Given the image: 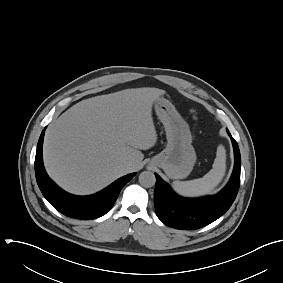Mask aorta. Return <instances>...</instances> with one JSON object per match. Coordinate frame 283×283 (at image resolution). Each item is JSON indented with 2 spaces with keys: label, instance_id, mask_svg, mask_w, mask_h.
<instances>
[{
  "label": "aorta",
  "instance_id": "obj_1",
  "mask_svg": "<svg viewBox=\"0 0 283 283\" xmlns=\"http://www.w3.org/2000/svg\"><path fill=\"white\" fill-rule=\"evenodd\" d=\"M155 182V175L150 171H144L139 175V183L145 188H150L154 186Z\"/></svg>",
  "mask_w": 283,
  "mask_h": 283
}]
</instances>
